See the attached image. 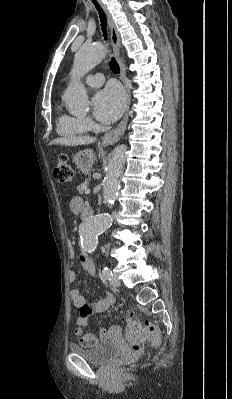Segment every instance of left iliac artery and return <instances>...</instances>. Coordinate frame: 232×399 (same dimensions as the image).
I'll use <instances>...</instances> for the list:
<instances>
[{
    "mask_svg": "<svg viewBox=\"0 0 232 399\" xmlns=\"http://www.w3.org/2000/svg\"><path fill=\"white\" fill-rule=\"evenodd\" d=\"M103 276L107 279V280H111L113 273L111 271V269L108 266H104L103 267Z\"/></svg>",
    "mask_w": 232,
    "mask_h": 399,
    "instance_id": "1",
    "label": "left iliac artery"
}]
</instances>
